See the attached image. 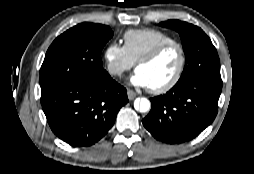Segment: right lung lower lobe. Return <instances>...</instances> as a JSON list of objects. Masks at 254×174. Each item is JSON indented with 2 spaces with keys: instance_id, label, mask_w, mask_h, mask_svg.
<instances>
[{
  "instance_id": "1",
  "label": "right lung lower lobe",
  "mask_w": 254,
  "mask_h": 174,
  "mask_svg": "<svg viewBox=\"0 0 254 174\" xmlns=\"http://www.w3.org/2000/svg\"><path fill=\"white\" fill-rule=\"evenodd\" d=\"M128 102L126 89L110 75L41 90V104L53 133L74 147L95 144Z\"/></svg>"
}]
</instances>
